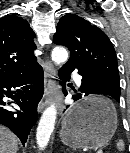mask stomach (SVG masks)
<instances>
[{
    "label": "stomach",
    "instance_id": "1",
    "mask_svg": "<svg viewBox=\"0 0 130 153\" xmlns=\"http://www.w3.org/2000/svg\"><path fill=\"white\" fill-rule=\"evenodd\" d=\"M117 122L115 107L109 99L87 97L63 117L60 138L73 148H102L113 137Z\"/></svg>",
    "mask_w": 130,
    "mask_h": 153
}]
</instances>
